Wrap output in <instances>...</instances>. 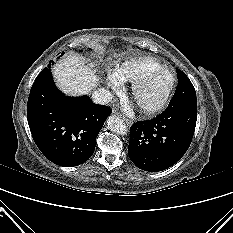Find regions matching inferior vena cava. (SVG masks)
Wrapping results in <instances>:
<instances>
[{"mask_svg":"<svg viewBox=\"0 0 233 233\" xmlns=\"http://www.w3.org/2000/svg\"><path fill=\"white\" fill-rule=\"evenodd\" d=\"M113 96L109 90L104 88L98 89L92 93V100L96 104H108Z\"/></svg>","mask_w":233,"mask_h":233,"instance_id":"602c4592","label":"inferior vena cava"}]
</instances>
